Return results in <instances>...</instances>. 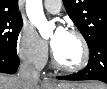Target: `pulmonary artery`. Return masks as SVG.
Returning a JSON list of instances; mask_svg holds the SVG:
<instances>
[{"mask_svg":"<svg viewBox=\"0 0 107 89\" xmlns=\"http://www.w3.org/2000/svg\"><path fill=\"white\" fill-rule=\"evenodd\" d=\"M44 7L48 12L55 14L60 11L61 1L60 0H45Z\"/></svg>","mask_w":107,"mask_h":89,"instance_id":"pulmonary-artery-1","label":"pulmonary artery"}]
</instances>
